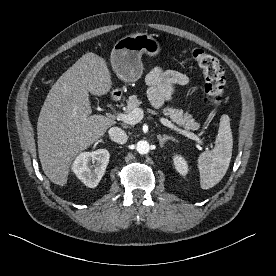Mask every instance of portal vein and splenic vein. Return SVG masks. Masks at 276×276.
Wrapping results in <instances>:
<instances>
[{
    "label": "portal vein and splenic vein",
    "mask_w": 276,
    "mask_h": 276,
    "mask_svg": "<svg viewBox=\"0 0 276 276\" xmlns=\"http://www.w3.org/2000/svg\"><path fill=\"white\" fill-rule=\"evenodd\" d=\"M144 115V111L141 108H136L133 111H131L130 113H117V118L121 121H123L126 124H130V125H135L138 122H140L143 118ZM159 121L167 126L168 128L174 129L176 131H178L180 134L195 140L197 143L201 144V145H205V143L203 142V140L195 135L194 133L182 130L178 127H176L173 123H171V121H169L168 119L164 118V117H159ZM209 148H212L213 145L212 144H208L206 145Z\"/></svg>",
    "instance_id": "18ae733b"
}]
</instances>
